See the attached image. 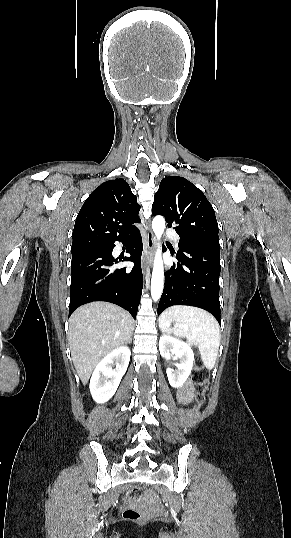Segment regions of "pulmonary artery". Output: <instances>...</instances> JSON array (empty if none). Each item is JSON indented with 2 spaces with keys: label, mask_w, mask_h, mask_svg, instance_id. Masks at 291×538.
<instances>
[{
  "label": "pulmonary artery",
  "mask_w": 291,
  "mask_h": 538,
  "mask_svg": "<svg viewBox=\"0 0 291 538\" xmlns=\"http://www.w3.org/2000/svg\"><path fill=\"white\" fill-rule=\"evenodd\" d=\"M165 234H166L167 237H169V238H171L173 240V242H174V244L176 246L179 244L180 237L174 230L169 229V230L166 231Z\"/></svg>",
  "instance_id": "1"
}]
</instances>
